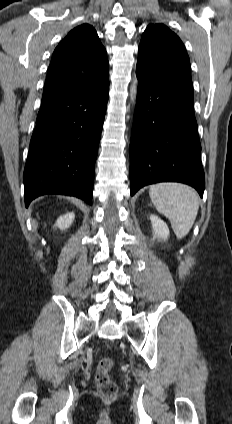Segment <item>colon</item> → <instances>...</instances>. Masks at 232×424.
<instances>
[{
  "label": "colon",
  "mask_w": 232,
  "mask_h": 424,
  "mask_svg": "<svg viewBox=\"0 0 232 424\" xmlns=\"http://www.w3.org/2000/svg\"><path fill=\"white\" fill-rule=\"evenodd\" d=\"M114 362L109 357H103L99 360L95 374V384L98 392L106 398L116 396L118 387L117 384L110 378Z\"/></svg>",
  "instance_id": "obj_1"
}]
</instances>
